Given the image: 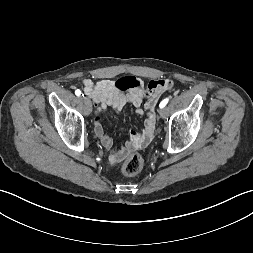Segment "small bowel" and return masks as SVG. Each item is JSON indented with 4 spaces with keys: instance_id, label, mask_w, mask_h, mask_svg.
Wrapping results in <instances>:
<instances>
[{
    "instance_id": "1",
    "label": "small bowel",
    "mask_w": 253,
    "mask_h": 253,
    "mask_svg": "<svg viewBox=\"0 0 253 253\" xmlns=\"http://www.w3.org/2000/svg\"><path fill=\"white\" fill-rule=\"evenodd\" d=\"M85 93L90 96L97 109L94 117V130L102 145L110 151L109 161L117 164L126 158L133 150L143 148L153 138L156 116L154 107L161 95L172 86L169 79H155L148 83L135 77H123L117 82L103 79L97 83L84 79ZM127 104L135 107L137 114L146 116L142 131H131L126 143L114 149L113 139L107 134L102 117L99 113L112 108L120 112Z\"/></svg>"
}]
</instances>
